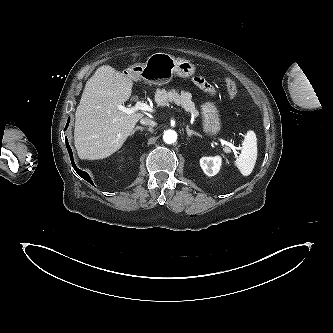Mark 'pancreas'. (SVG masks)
Returning <instances> with one entry per match:
<instances>
[{
	"label": "pancreas",
	"instance_id": "cf45deb5",
	"mask_svg": "<svg viewBox=\"0 0 333 333\" xmlns=\"http://www.w3.org/2000/svg\"><path fill=\"white\" fill-rule=\"evenodd\" d=\"M191 99V93L186 91H181L179 93V91L176 89H171L169 91L162 89L157 90L155 93V101L159 106H166L170 103H174L183 107L186 111L191 112L195 117H197L199 112L195 108V104Z\"/></svg>",
	"mask_w": 333,
	"mask_h": 333
}]
</instances>
